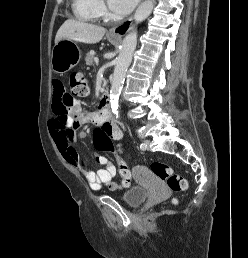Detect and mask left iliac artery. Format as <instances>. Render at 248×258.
I'll return each instance as SVG.
<instances>
[{"label":"left iliac artery","instance_id":"obj_1","mask_svg":"<svg viewBox=\"0 0 248 258\" xmlns=\"http://www.w3.org/2000/svg\"><path fill=\"white\" fill-rule=\"evenodd\" d=\"M144 148H145V144H144V143H141V144H140V149L144 150Z\"/></svg>","mask_w":248,"mask_h":258}]
</instances>
